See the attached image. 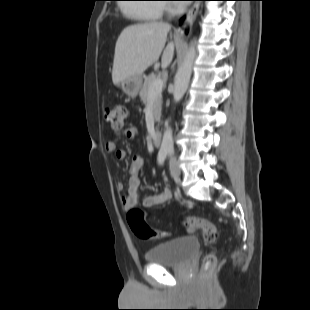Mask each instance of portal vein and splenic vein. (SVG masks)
<instances>
[{"label": "portal vein and splenic vein", "instance_id": "portal-vein-and-splenic-vein-1", "mask_svg": "<svg viewBox=\"0 0 310 310\" xmlns=\"http://www.w3.org/2000/svg\"><path fill=\"white\" fill-rule=\"evenodd\" d=\"M164 85V80L157 78L149 89V98L155 97L158 93H161Z\"/></svg>", "mask_w": 310, "mask_h": 310}]
</instances>
